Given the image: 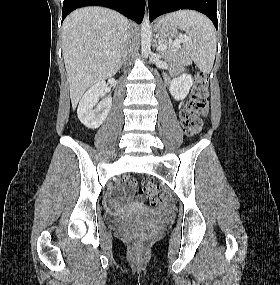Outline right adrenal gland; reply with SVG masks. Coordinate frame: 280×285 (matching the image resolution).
Wrapping results in <instances>:
<instances>
[{"mask_svg": "<svg viewBox=\"0 0 280 285\" xmlns=\"http://www.w3.org/2000/svg\"><path fill=\"white\" fill-rule=\"evenodd\" d=\"M123 63H124V59H122V61H121V66L123 65Z\"/></svg>", "mask_w": 280, "mask_h": 285, "instance_id": "2a0ac1e0", "label": "right adrenal gland"}]
</instances>
